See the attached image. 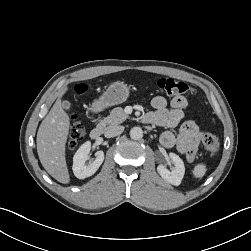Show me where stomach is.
<instances>
[{"label": "stomach", "mask_w": 251, "mask_h": 251, "mask_svg": "<svg viewBox=\"0 0 251 251\" xmlns=\"http://www.w3.org/2000/svg\"><path fill=\"white\" fill-rule=\"evenodd\" d=\"M129 97V87L121 81L111 83L103 94L92 103V110L99 112L110 106L118 105Z\"/></svg>", "instance_id": "0dacf381"}]
</instances>
